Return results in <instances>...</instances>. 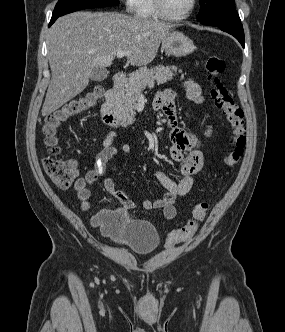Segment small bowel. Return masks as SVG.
Wrapping results in <instances>:
<instances>
[{"label": "small bowel", "mask_w": 285, "mask_h": 332, "mask_svg": "<svg viewBox=\"0 0 285 332\" xmlns=\"http://www.w3.org/2000/svg\"><path fill=\"white\" fill-rule=\"evenodd\" d=\"M183 86L191 101L195 103L203 101L201 87L196 82L188 80L184 82ZM154 108L162 111L167 117L169 138L171 141L169 156L174 162L180 164L181 179L173 181L162 171H156V177L166 189V192L158 199H145L139 204L130 199L122 190L118 189L110 176L104 177L103 186L113 198L120 201L128 209L141 207L145 210H161L165 219L172 220L177 214L175 201L178 197L185 196L191 191L194 184V175L203 167L204 155L200 149L201 139L177 125L174 96L171 91L157 95L154 100ZM117 134L116 130H111L106 134L102 142V148L96 156L94 168L87 171L83 177L78 178L74 183V189L82 211L90 209L91 191L89 186L96 183L101 176L105 175L107 163L116 156L128 154L131 150L128 144L114 145ZM210 134L211 128H208L204 135L208 137ZM105 214L104 211H101L94 215L92 224L99 226Z\"/></svg>", "instance_id": "c3829d8e"}]
</instances>
